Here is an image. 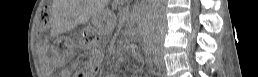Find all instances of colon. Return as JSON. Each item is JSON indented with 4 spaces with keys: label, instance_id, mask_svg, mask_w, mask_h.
I'll list each match as a JSON object with an SVG mask.
<instances>
[{
    "label": "colon",
    "instance_id": "obj_1",
    "mask_svg": "<svg viewBox=\"0 0 258 77\" xmlns=\"http://www.w3.org/2000/svg\"><path fill=\"white\" fill-rule=\"evenodd\" d=\"M50 26V15H49V12L48 10H43L41 13H40V17H39V25H38V31L39 33H44L47 31V29L49 28ZM90 39V35L86 32H83L81 34V40L83 42H88ZM125 49L127 50H130L133 48V42H129L128 44H126L124 46Z\"/></svg>",
    "mask_w": 258,
    "mask_h": 77
}]
</instances>
